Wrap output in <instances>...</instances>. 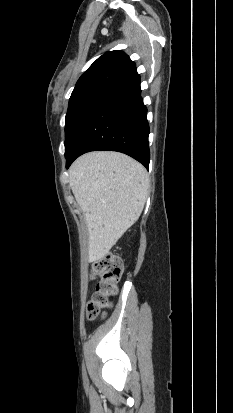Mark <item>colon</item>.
Segmentation results:
<instances>
[{
    "label": "colon",
    "instance_id": "5ec220e1",
    "mask_svg": "<svg viewBox=\"0 0 233 413\" xmlns=\"http://www.w3.org/2000/svg\"><path fill=\"white\" fill-rule=\"evenodd\" d=\"M122 269V261L115 255H107L93 263L91 276L92 278H99V282L87 306V318L89 320L104 315L103 310L109 306L110 298L116 293Z\"/></svg>",
    "mask_w": 233,
    "mask_h": 413
}]
</instances>
